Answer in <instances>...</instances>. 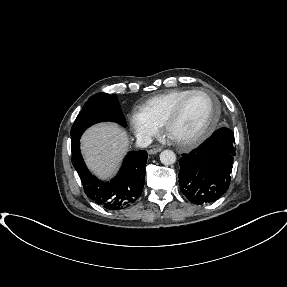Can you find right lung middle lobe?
Masks as SVG:
<instances>
[{
	"label": "right lung middle lobe",
	"instance_id": "1",
	"mask_svg": "<svg viewBox=\"0 0 287 287\" xmlns=\"http://www.w3.org/2000/svg\"><path fill=\"white\" fill-rule=\"evenodd\" d=\"M103 121H112L126 126V120L115 94L98 93L88 99L71 128L72 143L79 140L88 127Z\"/></svg>",
	"mask_w": 287,
	"mask_h": 287
}]
</instances>
